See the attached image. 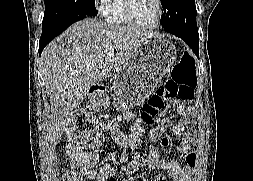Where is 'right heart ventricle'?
<instances>
[{
	"mask_svg": "<svg viewBox=\"0 0 253 181\" xmlns=\"http://www.w3.org/2000/svg\"><path fill=\"white\" fill-rule=\"evenodd\" d=\"M104 17L111 24H128L123 13L122 0H110Z\"/></svg>",
	"mask_w": 253,
	"mask_h": 181,
	"instance_id": "e07e8e85",
	"label": "right heart ventricle"
}]
</instances>
